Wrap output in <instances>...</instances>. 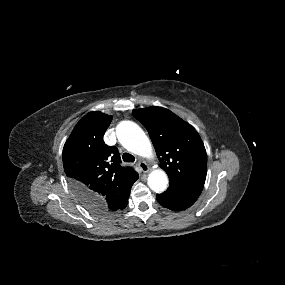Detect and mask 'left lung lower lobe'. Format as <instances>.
Wrapping results in <instances>:
<instances>
[{"instance_id": "left-lung-lower-lobe-1", "label": "left lung lower lobe", "mask_w": 285, "mask_h": 285, "mask_svg": "<svg viewBox=\"0 0 285 285\" xmlns=\"http://www.w3.org/2000/svg\"><path fill=\"white\" fill-rule=\"evenodd\" d=\"M202 190L197 188L170 183L169 188L162 194H157L158 202L165 208L181 211L192 206Z\"/></svg>"}]
</instances>
